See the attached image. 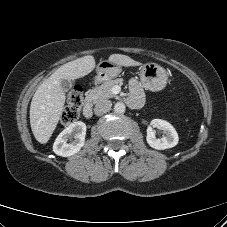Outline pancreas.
Returning <instances> with one entry per match:
<instances>
[{
	"instance_id": "1",
	"label": "pancreas",
	"mask_w": 227,
	"mask_h": 227,
	"mask_svg": "<svg viewBox=\"0 0 227 227\" xmlns=\"http://www.w3.org/2000/svg\"><path fill=\"white\" fill-rule=\"evenodd\" d=\"M122 79L109 80L104 82L98 87H95L86 92V99L92 103H98L105 99L117 97L113 92L112 88L114 85L121 84Z\"/></svg>"
}]
</instances>
